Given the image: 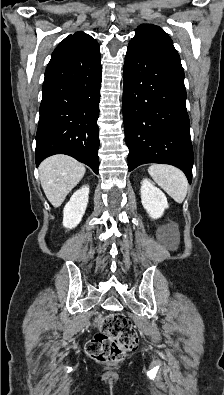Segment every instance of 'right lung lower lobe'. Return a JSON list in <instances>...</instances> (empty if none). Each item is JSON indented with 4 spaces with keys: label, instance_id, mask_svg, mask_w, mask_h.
I'll list each match as a JSON object with an SVG mask.
<instances>
[{
    "label": "right lung lower lobe",
    "instance_id": "right-lung-lower-lobe-1",
    "mask_svg": "<svg viewBox=\"0 0 224 395\" xmlns=\"http://www.w3.org/2000/svg\"><path fill=\"white\" fill-rule=\"evenodd\" d=\"M100 87V52H85L74 38H65L45 72L36 134L37 166L51 155L66 154L98 174Z\"/></svg>",
    "mask_w": 224,
    "mask_h": 395
}]
</instances>
